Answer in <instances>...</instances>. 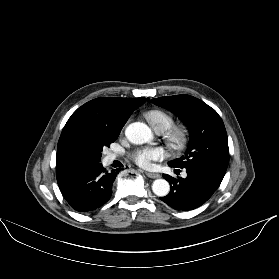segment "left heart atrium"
<instances>
[{
	"instance_id": "left-heart-atrium-1",
	"label": "left heart atrium",
	"mask_w": 279,
	"mask_h": 279,
	"mask_svg": "<svg viewBox=\"0 0 279 279\" xmlns=\"http://www.w3.org/2000/svg\"><path fill=\"white\" fill-rule=\"evenodd\" d=\"M166 151L163 147H144L135 150L132 154L134 162L143 168H150L153 161L163 160Z\"/></svg>"
}]
</instances>
